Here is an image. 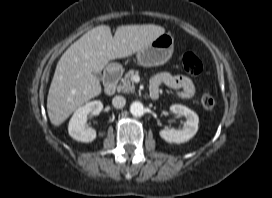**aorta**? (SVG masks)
I'll list each match as a JSON object with an SVG mask.
<instances>
[{
    "label": "aorta",
    "instance_id": "1",
    "mask_svg": "<svg viewBox=\"0 0 272 198\" xmlns=\"http://www.w3.org/2000/svg\"><path fill=\"white\" fill-rule=\"evenodd\" d=\"M130 112L135 117H141L145 113V108L141 102H133L130 106Z\"/></svg>",
    "mask_w": 272,
    "mask_h": 198
}]
</instances>
